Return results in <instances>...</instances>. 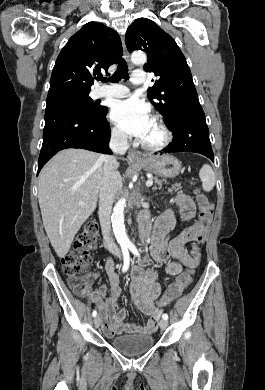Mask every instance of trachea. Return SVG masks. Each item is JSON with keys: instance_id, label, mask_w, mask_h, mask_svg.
<instances>
[{"instance_id": "3493384b", "label": "trachea", "mask_w": 265, "mask_h": 390, "mask_svg": "<svg viewBox=\"0 0 265 390\" xmlns=\"http://www.w3.org/2000/svg\"><path fill=\"white\" fill-rule=\"evenodd\" d=\"M122 78H124L125 80L129 78L128 66L124 59H120L118 61L117 71L109 79L102 78L101 81L107 82L109 80L110 82H119Z\"/></svg>"}]
</instances>
